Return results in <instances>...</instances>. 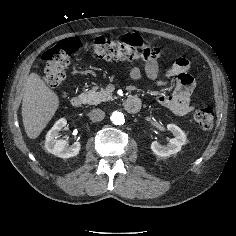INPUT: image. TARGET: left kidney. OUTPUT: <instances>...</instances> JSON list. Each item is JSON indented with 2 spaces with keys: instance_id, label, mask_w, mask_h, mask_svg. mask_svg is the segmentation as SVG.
<instances>
[{
  "instance_id": "5707ae66",
  "label": "left kidney",
  "mask_w": 236,
  "mask_h": 236,
  "mask_svg": "<svg viewBox=\"0 0 236 236\" xmlns=\"http://www.w3.org/2000/svg\"><path fill=\"white\" fill-rule=\"evenodd\" d=\"M167 129L174 135L167 145H161L157 141L151 143V150L157 156L168 157L172 154H176L181 150L182 146L186 144V135L178 126L168 124Z\"/></svg>"
}]
</instances>
